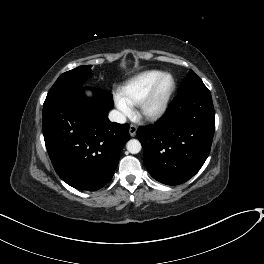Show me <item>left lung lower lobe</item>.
Returning <instances> with one entry per match:
<instances>
[{"label":"left lung lower lobe","mask_w":264,"mask_h":264,"mask_svg":"<svg viewBox=\"0 0 264 264\" xmlns=\"http://www.w3.org/2000/svg\"><path fill=\"white\" fill-rule=\"evenodd\" d=\"M214 130L215 112L208 88L178 94L159 121L137 130L150 175L167 185L189 180L207 159Z\"/></svg>","instance_id":"1"}]
</instances>
